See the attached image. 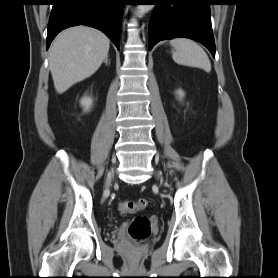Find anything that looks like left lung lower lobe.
<instances>
[{
    "label": "left lung lower lobe",
    "mask_w": 278,
    "mask_h": 278,
    "mask_svg": "<svg viewBox=\"0 0 278 278\" xmlns=\"http://www.w3.org/2000/svg\"><path fill=\"white\" fill-rule=\"evenodd\" d=\"M155 5L149 23V49L159 41L176 37L196 40L215 57L211 26L212 0H149Z\"/></svg>",
    "instance_id": "obj_1"
}]
</instances>
